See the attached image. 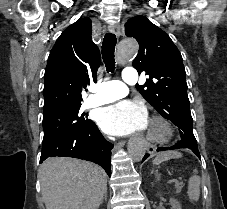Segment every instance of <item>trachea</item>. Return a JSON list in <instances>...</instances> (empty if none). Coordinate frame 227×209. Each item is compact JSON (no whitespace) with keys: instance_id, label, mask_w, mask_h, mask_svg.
I'll return each mask as SVG.
<instances>
[{"instance_id":"obj_1","label":"trachea","mask_w":227,"mask_h":209,"mask_svg":"<svg viewBox=\"0 0 227 209\" xmlns=\"http://www.w3.org/2000/svg\"><path fill=\"white\" fill-rule=\"evenodd\" d=\"M116 45V35L111 32H107L102 43V59L106 66L107 72H114L115 70V58L114 49Z\"/></svg>"}]
</instances>
